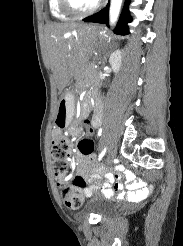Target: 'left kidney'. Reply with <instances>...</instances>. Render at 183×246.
<instances>
[{"label":"left kidney","instance_id":"obj_1","mask_svg":"<svg viewBox=\"0 0 183 246\" xmlns=\"http://www.w3.org/2000/svg\"><path fill=\"white\" fill-rule=\"evenodd\" d=\"M109 63L111 65V68L115 73H117L120 70L121 63H122V51L116 50L114 51L109 58Z\"/></svg>","mask_w":183,"mask_h":246}]
</instances>
